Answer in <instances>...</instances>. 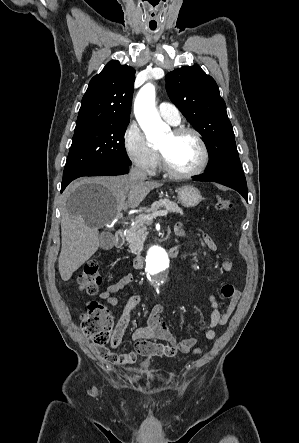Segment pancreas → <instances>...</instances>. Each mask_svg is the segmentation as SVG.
Segmentation results:
<instances>
[{"label": "pancreas", "instance_id": "cf45deb5", "mask_svg": "<svg viewBox=\"0 0 299 443\" xmlns=\"http://www.w3.org/2000/svg\"><path fill=\"white\" fill-rule=\"evenodd\" d=\"M161 207H164L167 212L183 214V210L175 202L170 201L169 199L155 201L150 208L145 210L144 214H140L135 219L134 224L127 230L126 240L132 253H141L147 235L146 225L151 223V221L145 220L143 217L150 215L151 212H157Z\"/></svg>", "mask_w": 299, "mask_h": 443}]
</instances>
